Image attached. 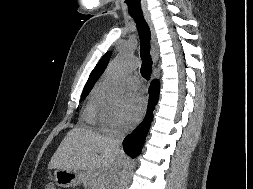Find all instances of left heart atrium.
Returning <instances> with one entry per match:
<instances>
[{
    "instance_id": "1",
    "label": "left heart atrium",
    "mask_w": 253,
    "mask_h": 189,
    "mask_svg": "<svg viewBox=\"0 0 253 189\" xmlns=\"http://www.w3.org/2000/svg\"><path fill=\"white\" fill-rule=\"evenodd\" d=\"M145 101L139 94H130L126 98L125 110L123 112V123L130 126L137 123L143 115Z\"/></svg>"
}]
</instances>
